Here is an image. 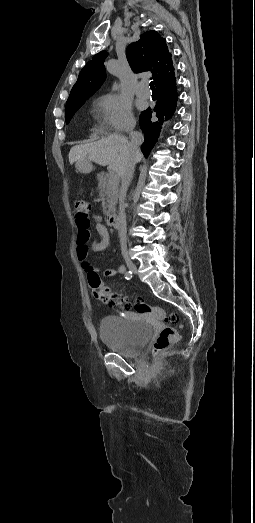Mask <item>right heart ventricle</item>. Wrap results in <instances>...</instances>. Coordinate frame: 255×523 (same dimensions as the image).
Returning <instances> with one entry per match:
<instances>
[{"mask_svg":"<svg viewBox=\"0 0 255 523\" xmlns=\"http://www.w3.org/2000/svg\"><path fill=\"white\" fill-rule=\"evenodd\" d=\"M106 120V118L102 115L98 116L95 120V123L98 127L102 126L104 124V121Z\"/></svg>","mask_w":255,"mask_h":523,"instance_id":"e07e8e85","label":"right heart ventricle"}]
</instances>
